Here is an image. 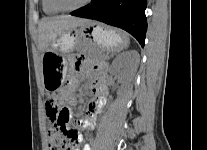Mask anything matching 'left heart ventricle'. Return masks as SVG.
<instances>
[{
	"label": "left heart ventricle",
	"mask_w": 207,
	"mask_h": 150,
	"mask_svg": "<svg viewBox=\"0 0 207 150\" xmlns=\"http://www.w3.org/2000/svg\"><path fill=\"white\" fill-rule=\"evenodd\" d=\"M59 1L65 7H74L80 4L84 0H59Z\"/></svg>",
	"instance_id": "b2bd125f"
}]
</instances>
